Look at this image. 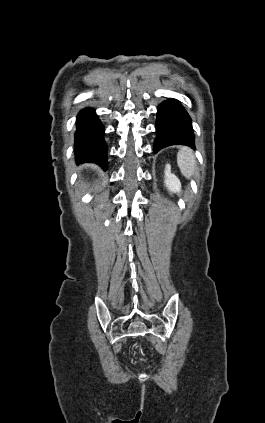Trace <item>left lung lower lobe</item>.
Wrapping results in <instances>:
<instances>
[{
	"mask_svg": "<svg viewBox=\"0 0 265 423\" xmlns=\"http://www.w3.org/2000/svg\"><path fill=\"white\" fill-rule=\"evenodd\" d=\"M191 118L179 101L168 99L157 111L154 152L170 145L194 147Z\"/></svg>",
	"mask_w": 265,
	"mask_h": 423,
	"instance_id": "1",
	"label": "left lung lower lobe"
}]
</instances>
